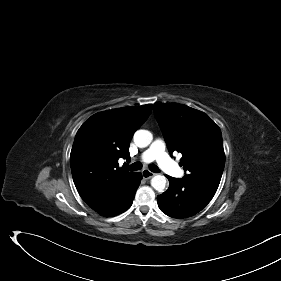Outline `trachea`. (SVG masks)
Returning <instances> with one entry per match:
<instances>
[{
  "instance_id": "trachea-1",
  "label": "trachea",
  "mask_w": 281,
  "mask_h": 281,
  "mask_svg": "<svg viewBox=\"0 0 281 281\" xmlns=\"http://www.w3.org/2000/svg\"><path fill=\"white\" fill-rule=\"evenodd\" d=\"M149 168H150V170H151L152 172H154V173H159V172H160V169H159L156 165H154V164H151V165L149 166ZM128 169H129L130 171H137V170H140V169H142V164H141L140 162H135V163H133L132 165H130V166L128 167Z\"/></svg>"
}]
</instances>
